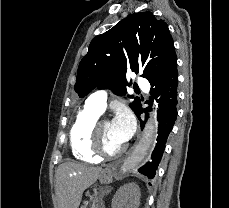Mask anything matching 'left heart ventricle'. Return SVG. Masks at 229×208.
Returning <instances> with one entry per match:
<instances>
[{
	"label": "left heart ventricle",
	"instance_id": "b2bd125f",
	"mask_svg": "<svg viewBox=\"0 0 229 208\" xmlns=\"http://www.w3.org/2000/svg\"><path fill=\"white\" fill-rule=\"evenodd\" d=\"M99 131L102 136L105 138L103 143L105 144V152H113L114 149L120 148L123 146L121 142L114 134L111 123H102L99 127Z\"/></svg>",
	"mask_w": 229,
	"mask_h": 208
}]
</instances>
